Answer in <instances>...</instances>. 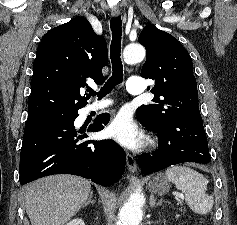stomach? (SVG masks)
<instances>
[{
	"label": "stomach",
	"instance_id": "1",
	"mask_svg": "<svg viewBox=\"0 0 237 225\" xmlns=\"http://www.w3.org/2000/svg\"><path fill=\"white\" fill-rule=\"evenodd\" d=\"M149 187L152 193L164 195L170 190V183L167 177L158 174L150 180Z\"/></svg>",
	"mask_w": 237,
	"mask_h": 225
}]
</instances>
